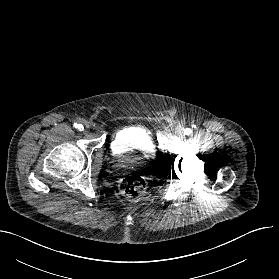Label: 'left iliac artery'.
Masks as SVG:
<instances>
[{
    "label": "left iliac artery",
    "mask_w": 279,
    "mask_h": 279,
    "mask_svg": "<svg viewBox=\"0 0 279 279\" xmlns=\"http://www.w3.org/2000/svg\"><path fill=\"white\" fill-rule=\"evenodd\" d=\"M191 132H192V130L190 128H186L184 131V134L189 135V134H191Z\"/></svg>",
    "instance_id": "obj_1"
}]
</instances>
